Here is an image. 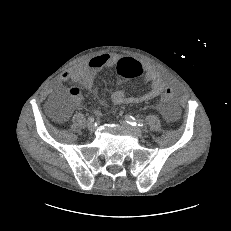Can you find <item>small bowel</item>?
I'll use <instances>...</instances> for the list:
<instances>
[{"instance_id": "1", "label": "small bowel", "mask_w": 231, "mask_h": 231, "mask_svg": "<svg viewBox=\"0 0 231 231\" xmlns=\"http://www.w3.org/2000/svg\"><path fill=\"white\" fill-rule=\"evenodd\" d=\"M120 59L121 57L117 54L97 55L87 62L63 72L59 80L55 83L54 89L60 88L63 82L72 81L79 83L87 90H91L93 89L98 73L105 68L114 66ZM142 66L144 68L143 80L150 85L148 92L141 96H131L124 91H114L111 94V101L114 104L130 105L149 101L161 95L164 87L171 84L168 79L164 78L163 75L152 66ZM69 93L78 105L82 104V94L79 88L72 87L69 89ZM101 104H104V101H101ZM160 112L167 121L174 122L179 116V107L176 103H171L163 106Z\"/></svg>"}]
</instances>
